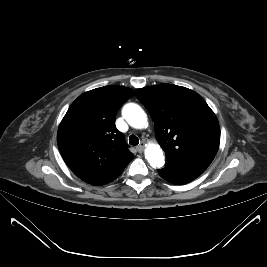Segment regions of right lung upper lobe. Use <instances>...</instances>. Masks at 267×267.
<instances>
[{
  "mask_svg": "<svg viewBox=\"0 0 267 267\" xmlns=\"http://www.w3.org/2000/svg\"><path fill=\"white\" fill-rule=\"evenodd\" d=\"M130 88L105 86L80 95L62 119L57 143L63 159L83 181L103 185L117 178L133 159L115 126Z\"/></svg>",
  "mask_w": 267,
  "mask_h": 267,
  "instance_id": "cb5924a9",
  "label": "right lung upper lobe"
}]
</instances>
